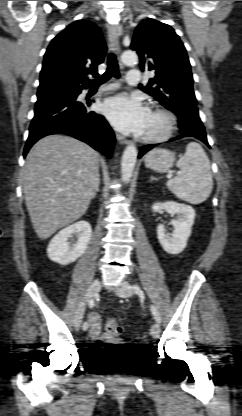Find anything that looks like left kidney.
<instances>
[{"mask_svg":"<svg viewBox=\"0 0 242 416\" xmlns=\"http://www.w3.org/2000/svg\"><path fill=\"white\" fill-rule=\"evenodd\" d=\"M153 212L165 210L169 214H177L178 218L171 221L174 231L171 235L165 232L162 224L157 226V237L163 249L169 254H179L187 246L188 238L191 235V228L195 219L194 209L185 204L168 201L165 203H154Z\"/></svg>","mask_w":242,"mask_h":416,"instance_id":"5707ae66","label":"left kidney"}]
</instances>
